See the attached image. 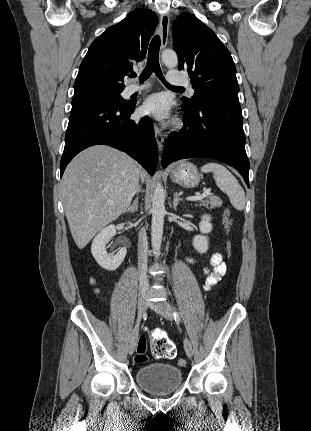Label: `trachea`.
Masks as SVG:
<instances>
[{
	"label": "trachea",
	"mask_w": 311,
	"mask_h": 431,
	"mask_svg": "<svg viewBox=\"0 0 311 431\" xmlns=\"http://www.w3.org/2000/svg\"><path fill=\"white\" fill-rule=\"evenodd\" d=\"M159 49H160V37L154 36L152 39L149 49H148V60L146 67L144 68L142 74L139 77L140 83H143L147 80L151 74L154 72L156 76L169 88H176L180 90H184L183 87H172L163 77L160 65H159ZM135 73H131L130 77H135Z\"/></svg>",
	"instance_id": "3493384b"
}]
</instances>
